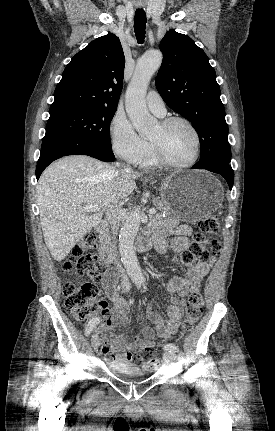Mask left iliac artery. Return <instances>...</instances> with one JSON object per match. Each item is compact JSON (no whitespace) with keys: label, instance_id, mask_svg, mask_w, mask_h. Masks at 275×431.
I'll list each match as a JSON object with an SVG mask.
<instances>
[{"label":"left iliac artery","instance_id":"obj_1","mask_svg":"<svg viewBox=\"0 0 275 431\" xmlns=\"http://www.w3.org/2000/svg\"><path fill=\"white\" fill-rule=\"evenodd\" d=\"M164 349L169 352H177L178 348L175 344L169 343L164 346Z\"/></svg>","mask_w":275,"mask_h":431}]
</instances>
